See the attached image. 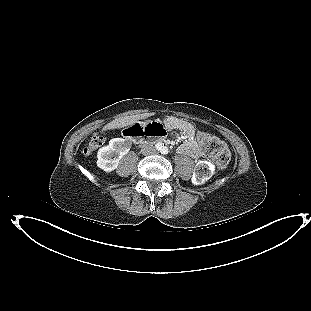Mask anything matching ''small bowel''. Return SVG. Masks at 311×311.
Listing matches in <instances>:
<instances>
[{
    "label": "small bowel",
    "instance_id": "obj_1",
    "mask_svg": "<svg viewBox=\"0 0 311 311\" xmlns=\"http://www.w3.org/2000/svg\"><path fill=\"white\" fill-rule=\"evenodd\" d=\"M164 126L169 130H179L185 134L186 140L178 149L180 154L193 158L200 156V151L195 141V129L190 122L181 118L167 117L164 119Z\"/></svg>",
    "mask_w": 311,
    "mask_h": 311
}]
</instances>
